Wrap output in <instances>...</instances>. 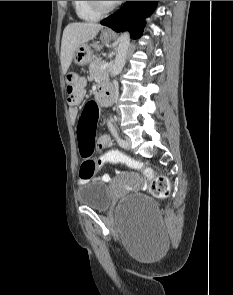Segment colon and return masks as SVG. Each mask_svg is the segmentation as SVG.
I'll return each mask as SVG.
<instances>
[{
  "label": "colon",
  "mask_w": 233,
  "mask_h": 295,
  "mask_svg": "<svg viewBox=\"0 0 233 295\" xmlns=\"http://www.w3.org/2000/svg\"><path fill=\"white\" fill-rule=\"evenodd\" d=\"M66 88L69 98L73 99L85 92V80L75 72L66 75ZM97 117L90 111L83 112L78 124V138L80 154L83 162L80 166L79 176L83 180L91 179L98 169L112 164H125L128 167L142 171L151 180L150 193L158 199L168 197L170 192L169 180L165 176L154 177L150 168L143 162L133 159L119 150H109L94 159L95 133Z\"/></svg>",
  "instance_id": "obj_1"
}]
</instances>
